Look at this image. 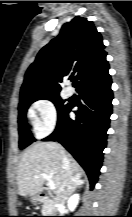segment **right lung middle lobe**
Here are the masks:
<instances>
[{
	"mask_svg": "<svg viewBox=\"0 0 132 217\" xmlns=\"http://www.w3.org/2000/svg\"><path fill=\"white\" fill-rule=\"evenodd\" d=\"M40 99H47L52 101L58 112V116L62 113V111L68 106L65 104V100H62L59 94H51V95H42V96H28L20 98L19 103V116H18V123H19V147L20 149H24L25 147L29 146L32 142L35 141L32 134L30 133L29 129L26 125V112L28 107L31 103L40 100Z\"/></svg>",
	"mask_w": 132,
	"mask_h": 217,
	"instance_id": "dd1d6c3e",
	"label": "right lung middle lobe"
}]
</instances>
